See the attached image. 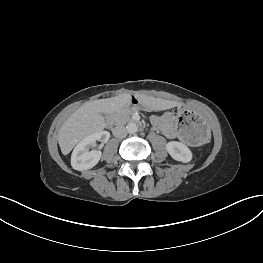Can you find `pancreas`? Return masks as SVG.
<instances>
[{
  "label": "pancreas",
  "mask_w": 263,
  "mask_h": 263,
  "mask_svg": "<svg viewBox=\"0 0 263 263\" xmlns=\"http://www.w3.org/2000/svg\"><path fill=\"white\" fill-rule=\"evenodd\" d=\"M134 110L127 108L124 110H120L115 113V121L117 124H126L127 122L131 121V115L133 114Z\"/></svg>",
  "instance_id": "pancreas-1"
}]
</instances>
